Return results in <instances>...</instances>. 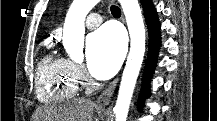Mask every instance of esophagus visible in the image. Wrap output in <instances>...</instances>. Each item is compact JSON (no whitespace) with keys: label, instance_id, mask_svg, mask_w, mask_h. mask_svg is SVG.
Here are the masks:
<instances>
[{"label":"esophagus","instance_id":"1","mask_svg":"<svg viewBox=\"0 0 217 121\" xmlns=\"http://www.w3.org/2000/svg\"><path fill=\"white\" fill-rule=\"evenodd\" d=\"M118 83V78H116L98 97L97 103L99 105H108L110 103L111 97L115 91L116 85Z\"/></svg>","mask_w":217,"mask_h":121}]
</instances>
